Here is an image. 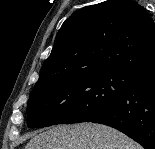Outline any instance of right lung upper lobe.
Instances as JSON below:
<instances>
[{
	"mask_svg": "<svg viewBox=\"0 0 155 149\" xmlns=\"http://www.w3.org/2000/svg\"><path fill=\"white\" fill-rule=\"evenodd\" d=\"M155 71V23L133 0H108L72 14L58 31L39 80L71 73Z\"/></svg>",
	"mask_w": 155,
	"mask_h": 149,
	"instance_id": "1",
	"label": "right lung upper lobe"
}]
</instances>
